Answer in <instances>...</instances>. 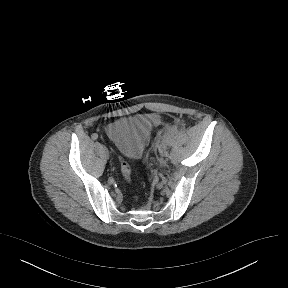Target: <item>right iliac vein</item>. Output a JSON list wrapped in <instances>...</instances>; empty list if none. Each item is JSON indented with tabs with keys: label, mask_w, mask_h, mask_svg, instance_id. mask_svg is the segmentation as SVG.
<instances>
[{
	"label": "right iliac vein",
	"mask_w": 288,
	"mask_h": 288,
	"mask_svg": "<svg viewBox=\"0 0 288 288\" xmlns=\"http://www.w3.org/2000/svg\"><path fill=\"white\" fill-rule=\"evenodd\" d=\"M104 152H105L106 157L108 158L109 157V150L106 147H104Z\"/></svg>",
	"instance_id": "right-iliac-vein-1"
}]
</instances>
